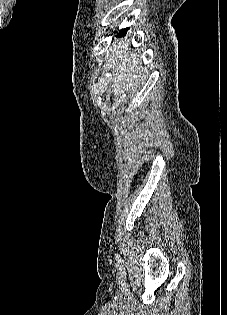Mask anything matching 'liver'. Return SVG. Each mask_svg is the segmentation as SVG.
<instances>
[{
	"label": "liver",
	"mask_w": 227,
	"mask_h": 315,
	"mask_svg": "<svg viewBox=\"0 0 227 315\" xmlns=\"http://www.w3.org/2000/svg\"><path fill=\"white\" fill-rule=\"evenodd\" d=\"M108 69L112 70L116 93L134 91L142 79L140 57L129 49V40H117L107 53Z\"/></svg>",
	"instance_id": "obj_1"
}]
</instances>
